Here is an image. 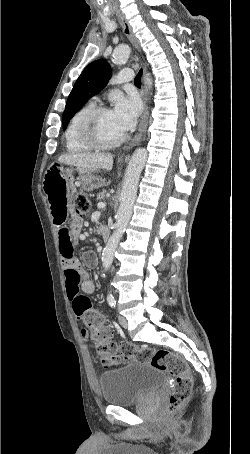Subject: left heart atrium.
Here are the masks:
<instances>
[{"mask_svg":"<svg viewBox=\"0 0 250 454\" xmlns=\"http://www.w3.org/2000/svg\"><path fill=\"white\" fill-rule=\"evenodd\" d=\"M117 127L123 132L131 130L141 112V101L137 95L116 98L111 110Z\"/></svg>","mask_w":250,"mask_h":454,"instance_id":"obj_1","label":"left heart atrium"}]
</instances>
